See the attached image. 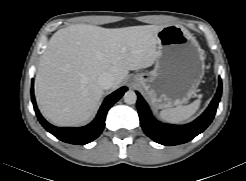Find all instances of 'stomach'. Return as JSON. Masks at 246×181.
I'll return each instance as SVG.
<instances>
[{
  "label": "stomach",
  "mask_w": 246,
  "mask_h": 181,
  "mask_svg": "<svg viewBox=\"0 0 246 181\" xmlns=\"http://www.w3.org/2000/svg\"><path fill=\"white\" fill-rule=\"evenodd\" d=\"M157 53L154 69L136 74L135 83L157 109L188 102L205 72L204 52L195 37L183 26H165L157 34Z\"/></svg>",
  "instance_id": "stomach-1"
}]
</instances>
